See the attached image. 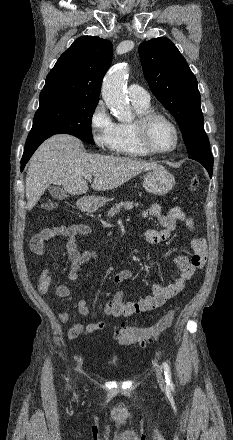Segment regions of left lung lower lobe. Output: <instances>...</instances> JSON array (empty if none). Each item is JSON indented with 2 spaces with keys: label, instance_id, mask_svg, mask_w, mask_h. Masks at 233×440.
Listing matches in <instances>:
<instances>
[{
  "label": "left lung lower lobe",
  "instance_id": "0a47b994",
  "mask_svg": "<svg viewBox=\"0 0 233 440\" xmlns=\"http://www.w3.org/2000/svg\"><path fill=\"white\" fill-rule=\"evenodd\" d=\"M189 158L201 163L207 169L210 177H212L213 156L210 152L199 154V155H190Z\"/></svg>",
  "mask_w": 233,
  "mask_h": 440
}]
</instances>
